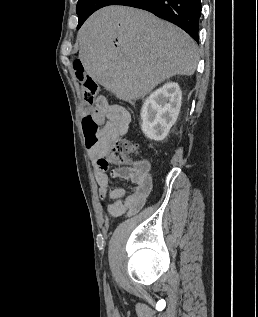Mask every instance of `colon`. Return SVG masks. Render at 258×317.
Segmentation results:
<instances>
[{
  "label": "colon",
  "instance_id": "5ec220e1",
  "mask_svg": "<svg viewBox=\"0 0 258 317\" xmlns=\"http://www.w3.org/2000/svg\"><path fill=\"white\" fill-rule=\"evenodd\" d=\"M73 68L82 86L84 99L88 106H93L98 90L95 81L89 77L79 60H75ZM82 130L88 148L97 147L103 138L104 123L100 114L93 109L85 111L82 118ZM137 145L128 139H116L110 146V158L116 163H127L129 155L137 152Z\"/></svg>",
  "mask_w": 258,
  "mask_h": 317
}]
</instances>
